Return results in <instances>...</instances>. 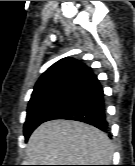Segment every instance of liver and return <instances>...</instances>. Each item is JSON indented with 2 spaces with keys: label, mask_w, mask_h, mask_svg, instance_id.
<instances>
[{
  "label": "liver",
  "mask_w": 135,
  "mask_h": 166,
  "mask_svg": "<svg viewBox=\"0 0 135 166\" xmlns=\"http://www.w3.org/2000/svg\"><path fill=\"white\" fill-rule=\"evenodd\" d=\"M26 154L31 165H109L113 145L104 132L91 125L53 120L31 134Z\"/></svg>",
  "instance_id": "liver-1"
}]
</instances>
